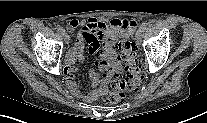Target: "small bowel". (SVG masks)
I'll return each instance as SVG.
<instances>
[{
	"mask_svg": "<svg viewBox=\"0 0 207 123\" xmlns=\"http://www.w3.org/2000/svg\"><path fill=\"white\" fill-rule=\"evenodd\" d=\"M136 25L135 21L119 18H113L108 22L96 18L81 21L74 19L65 23L68 31L82 27L74 46L68 50L65 59L66 84L75 97L81 98L85 102H91L96 97L95 91L83 94L74 78L76 72L74 64L76 61L84 60L85 43H88L91 55H100V59L96 63L97 70L90 72L91 83L93 87H97L102 72L109 67L118 68L115 46L122 38L129 37L134 32Z\"/></svg>",
	"mask_w": 207,
	"mask_h": 123,
	"instance_id": "small-bowel-1",
	"label": "small bowel"
}]
</instances>
